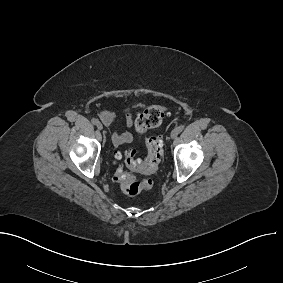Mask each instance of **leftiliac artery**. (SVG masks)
<instances>
[{"mask_svg": "<svg viewBox=\"0 0 283 283\" xmlns=\"http://www.w3.org/2000/svg\"><path fill=\"white\" fill-rule=\"evenodd\" d=\"M183 129H184V126H183V125H180V126L177 127V130H178L179 133H180Z\"/></svg>", "mask_w": 283, "mask_h": 283, "instance_id": "obj_1", "label": "left iliac artery"}]
</instances>
